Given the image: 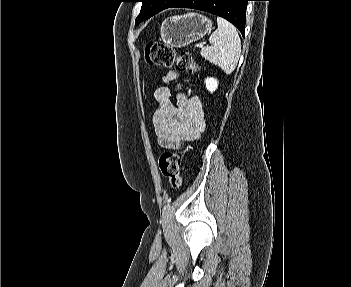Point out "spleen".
Masks as SVG:
<instances>
[{
    "label": "spleen",
    "instance_id": "spleen-1",
    "mask_svg": "<svg viewBox=\"0 0 351 287\" xmlns=\"http://www.w3.org/2000/svg\"><path fill=\"white\" fill-rule=\"evenodd\" d=\"M218 28L211 34V46L201 50V56L209 62L218 65L226 74H231L238 63L241 54V41L234 25L218 17Z\"/></svg>",
    "mask_w": 351,
    "mask_h": 287
}]
</instances>
